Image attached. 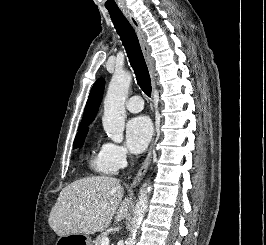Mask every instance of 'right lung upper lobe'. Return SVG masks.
<instances>
[{"instance_id":"obj_1","label":"right lung upper lobe","mask_w":266,"mask_h":245,"mask_svg":"<svg viewBox=\"0 0 266 245\" xmlns=\"http://www.w3.org/2000/svg\"><path fill=\"white\" fill-rule=\"evenodd\" d=\"M104 86L105 80L103 78H99L93 85L79 126L90 124L94 120L103 96Z\"/></svg>"}]
</instances>
